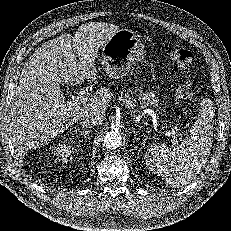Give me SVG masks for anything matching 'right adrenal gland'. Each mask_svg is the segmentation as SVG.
<instances>
[{"mask_svg":"<svg viewBox=\"0 0 231 231\" xmlns=\"http://www.w3.org/2000/svg\"><path fill=\"white\" fill-rule=\"evenodd\" d=\"M75 131L76 132L78 131V132L82 133L84 136H86V135H88L90 133V131H87L85 129L80 130L79 128H77Z\"/></svg>","mask_w":231,"mask_h":231,"instance_id":"1","label":"right adrenal gland"}]
</instances>
